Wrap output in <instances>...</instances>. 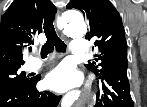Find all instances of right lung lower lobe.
I'll list each match as a JSON object with an SVG mask.
<instances>
[{
  "instance_id": "obj_1",
  "label": "right lung lower lobe",
  "mask_w": 147,
  "mask_h": 107,
  "mask_svg": "<svg viewBox=\"0 0 147 107\" xmlns=\"http://www.w3.org/2000/svg\"><path fill=\"white\" fill-rule=\"evenodd\" d=\"M39 80L40 76H37L25 85L0 92V107H57L61 96L37 91Z\"/></svg>"
}]
</instances>
